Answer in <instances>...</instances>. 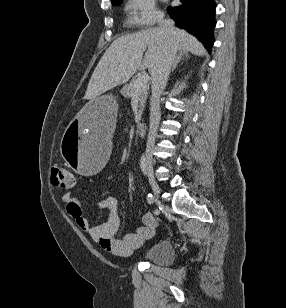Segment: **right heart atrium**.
Here are the masks:
<instances>
[{"mask_svg": "<svg viewBox=\"0 0 286 308\" xmlns=\"http://www.w3.org/2000/svg\"><path fill=\"white\" fill-rule=\"evenodd\" d=\"M125 10L130 21L140 28L153 26L161 19L155 0H127Z\"/></svg>", "mask_w": 286, "mask_h": 308, "instance_id": "right-heart-atrium-1", "label": "right heart atrium"}]
</instances>
